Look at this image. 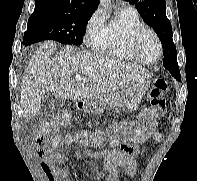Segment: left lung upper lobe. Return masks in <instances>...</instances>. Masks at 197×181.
Instances as JSON below:
<instances>
[{
    "instance_id": "left-lung-upper-lobe-1",
    "label": "left lung upper lobe",
    "mask_w": 197,
    "mask_h": 181,
    "mask_svg": "<svg viewBox=\"0 0 197 181\" xmlns=\"http://www.w3.org/2000/svg\"><path fill=\"white\" fill-rule=\"evenodd\" d=\"M125 1L135 5L143 20L157 33L163 47V66L174 78L180 80V71L177 63V51L172 40V26L166 16L165 0Z\"/></svg>"
}]
</instances>
